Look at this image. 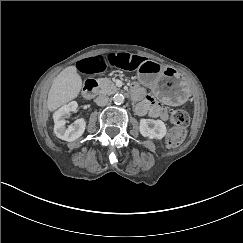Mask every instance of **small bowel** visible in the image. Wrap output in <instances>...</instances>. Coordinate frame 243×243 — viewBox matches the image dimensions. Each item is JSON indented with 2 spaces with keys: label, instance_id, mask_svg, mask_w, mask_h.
I'll return each instance as SVG.
<instances>
[{
  "label": "small bowel",
  "instance_id": "small-bowel-1",
  "mask_svg": "<svg viewBox=\"0 0 243 243\" xmlns=\"http://www.w3.org/2000/svg\"><path fill=\"white\" fill-rule=\"evenodd\" d=\"M144 58L139 55L126 52L97 54L79 61L78 68L84 73H98L108 68H120L124 70H134ZM134 91L139 97L144 96L143 90L139 86L134 87ZM139 115L149 114L152 117L167 119L166 108L151 96H146L136 107Z\"/></svg>",
  "mask_w": 243,
  "mask_h": 243
}]
</instances>
